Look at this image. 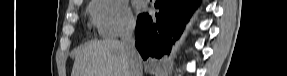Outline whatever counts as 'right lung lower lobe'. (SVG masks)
Listing matches in <instances>:
<instances>
[{
	"instance_id": "1",
	"label": "right lung lower lobe",
	"mask_w": 287,
	"mask_h": 76,
	"mask_svg": "<svg viewBox=\"0 0 287 76\" xmlns=\"http://www.w3.org/2000/svg\"><path fill=\"white\" fill-rule=\"evenodd\" d=\"M197 5L200 0H156L155 21L148 14L138 16L135 45L144 60L170 53Z\"/></svg>"
}]
</instances>
